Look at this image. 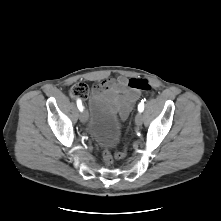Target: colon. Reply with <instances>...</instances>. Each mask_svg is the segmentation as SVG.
Wrapping results in <instances>:
<instances>
[{
    "instance_id": "obj_1",
    "label": "colon",
    "mask_w": 221,
    "mask_h": 221,
    "mask_svg": "<svg viewBox=\"0 0 221 221\" xmlns=\"http://www.w3.org/2000/svg\"><path fill=\"white\" fill-rule=\"evenodd\" d=\"M128 85L130 88L136 91H149L151 85L146 78H132L129 80ZM89 94V88L84 82L75 84L71 89V96L76 97L79 100H86ZM126 156V149L115 151L112 153L110 150L105 149L103 151V160L107 164H111L114 159H122Z\"/></svg>"
}]
</instances>
